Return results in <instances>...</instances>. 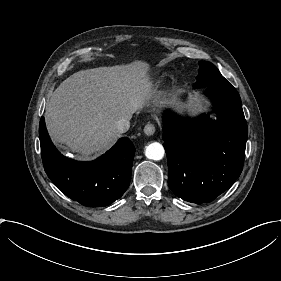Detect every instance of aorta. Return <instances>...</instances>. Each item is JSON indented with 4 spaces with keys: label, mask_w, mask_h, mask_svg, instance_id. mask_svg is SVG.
Returning a JSON list of instances; mask_svg holds the SVG:
<instances>
[{
    "label": "aorta",
    "mask_w": 281,
    "mask_h": 281,
    "mask_svg": "<svg viewBox=\"0 0 281 281\" xmlns=\"http://www.w3.org/2000/svg\"><path fill=\"white\" fill-rule=\"evenodd\" d=\"M165 154L164 147L158 142H153L146 146L145 155L151 160H161Z\"/></svg>",
    "instance_id": "1"
}]
</instances>
